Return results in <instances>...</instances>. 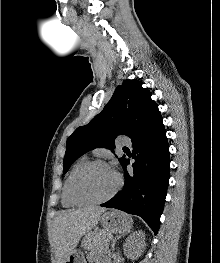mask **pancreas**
Masks as SVG:
<instances>
[{"label":"pancreas","instance_id":"obj_1","mask_svg":"<svg viewBox=\"0 0 220 263\" xmlns=\"http://www.w3.org/2000/svg\"><path fill=\"white\" fill-rule=\"evenodd\" d=\"M110 234L104 230H95L88 234L82 241L84 248L86 249H105Z\"/></svg>","mask_w":220,"mask_h":263}]
</instances>
